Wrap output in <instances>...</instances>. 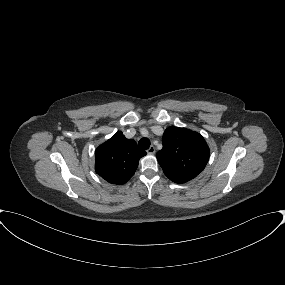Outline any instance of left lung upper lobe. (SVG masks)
Returning a JSON list of instances; mask_svg holds the SVG:
<instances>
[{
	"label": "left lung upper lobe",
	"instance_id": "obj_1",
	"mask_svg": "<svg viewBox=\"0 0 285 285\" xmlns=\"http://www.w3.org/2000/svg\"><path fill=\"white\" fill-rule=\"evenodd\" d=\"M157 160L170 180L189 181L205 168L209 147L201 134L186 128L169 127L162 137Z\"/></svg>",
	"mask_w": 285,
	"mask_h": 285
}]
</instances>
